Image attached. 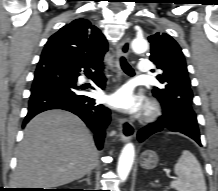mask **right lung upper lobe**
Listing matches in <instances>:
<instances>
[{
  "instance_id": "cb5924a9",
  "label": "right lung upper lobe",
  "mask_w": 218,
  "mask_h": 191,
  "mask_svg": "<svg viewBox=\"0 0 218 191\" xmlns=\"http://www.w3.org/2000/svg\"><path fill=\"white\" fill-rule=\"evenodd\" d=\"M107 41L86 19H76L53 34L42 52H56L78 60L103 59Z\"/></svg>"
}]
</instances>
